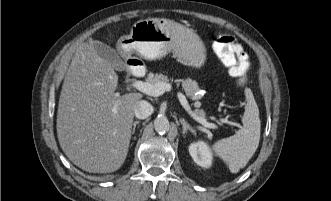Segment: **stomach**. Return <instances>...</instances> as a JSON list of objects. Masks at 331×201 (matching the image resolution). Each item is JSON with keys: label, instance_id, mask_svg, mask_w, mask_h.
Here are the masks:
<instances>
[{"label": "stomach", "instance_id": "0dacf381", "mask_svg": "<svg viewBox=\"0 0 331 201\" xmlns=\"http://www.w3.org/2000/svg\"><path fill=\"white\" fill-rule=\"evenodd\" d=\"M125 53H136L147 60H156L169 53L185 65L199 68L206 60L205 46L192 30L172 20L149 18L135 22L129 35L118 41Z\"/></svg>", "mask_w": 331, "mask_h": 201}]
</instances>
